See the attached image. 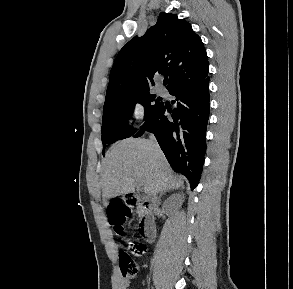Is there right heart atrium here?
<instances>
[{
  "mask_svg": "<svg viewBox=\"0 0 293 289\" xmlns=\"http://www.w3.org/2000/svg\"><path fill=\"white\" fill-rule=\"evenodd\" d=\"M129 114L137 124H142L145 120V108L143 104L139 101L132 103L129 108Z\"/></svg>",
  "mask_w": 293,
  "mask_h": 289,
  "instance_id": "right-heart-atrium-1",
  "label": "right heart atrium"
}]
</instances>
